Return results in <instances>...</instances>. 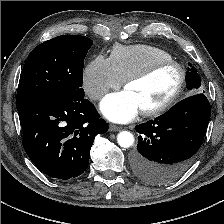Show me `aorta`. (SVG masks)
<instances>
[{
  "instance_id": "1",
  "label": "aorta",
  "mask_w": 224,
  "mask_h": 224,
  "mask_svg": "<svg viewBox=\"0 0 224 224\" xmlns=\"http://www.w3.org/2000/svg\"><path fill=\"white\" fill-rule=\"evenodd\" d=\"M117 141L118 144L123 148H128L133 145L134 143V137L133 135L128 131H121L117 135Z\"/></svg>"
}]
</instances>
